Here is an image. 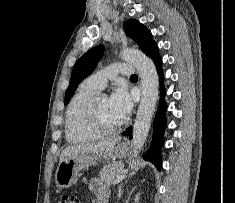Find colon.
Segmentation results:
<instances>
[{"label":"colon","instance_id":"colon-1","mask_svg":"<svg viewBox=\"0 0 235 203\" xmlns=\"http://www.w3.org/2000/svg\"><path fill=\"white\" fill-rule=\"evenodd\" d=\"M57 203H80V200L77 196L72 194H65L61 196Z\"/></svg>","mask_w":235,"mask_h":203}]
</instances>
